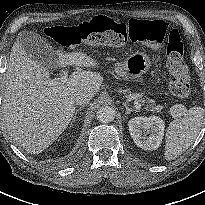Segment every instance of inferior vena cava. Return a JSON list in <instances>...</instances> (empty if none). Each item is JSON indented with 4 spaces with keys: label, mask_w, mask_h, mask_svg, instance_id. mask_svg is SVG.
I'll return each instance as SVG.
<instances>
[{
    "label": "inferior vena cava",
    "mask_w": 205,
    "mask_h": 205,
    "mask_svg": "<svg viewBox=\"0 0 205 205\" xmlns=\"http://www.w3.org/2000/svg\"><path fill=\"white\" fill-rule=\"evenodd\" d=\"M92 97L93 96L90 93H79L75 97V103L77 105H85L92 99Z\"/></svg>",
    "instance_id": "602c4592"
}]
</instances>
